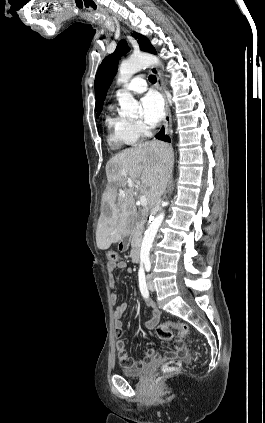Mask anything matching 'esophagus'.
I'll return each mask as SVG.
<instances>
[{"instance_id":"34e87169","label":"esophagus","mask_w":265,"mask_h":423,"mask_svg":"<svg viewBox=\"0 0 265 423\" xmlns=\"http://www.w3.org/2000/svg\"><path fill=\"white\" fill-rule=\"evenodd\" d=\"M150 71L156 76L157 78V88L162 93L165 101V118H164V129L165 133L168 135H172V119H171V113L168 106L167 97L163 88V81L160 72L158 69L154 66L150 67Z\"/></svg>"}]
</instances>
